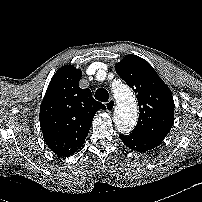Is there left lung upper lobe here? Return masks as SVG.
I'll list each match as a JSON object with an SVG mask.
<instances>
[{"label": "left lung upper lobe", "instance_id": "left-lung-upper-lobe-1", "mask_svg": "<svg viewBox=\"0 0 202 202\" xmlns=\"http://www.w3.org/2000/svg\"><path fill=\"white\" fill-rule=\"evenodd\" d=\"M117 74L135 93L139 118L133 134L164 140L174 122L172 93L154 68L136 55H127L116 66Z\"/></svg>", "mask_w": 202, "mask_h": 202}]
</instances>
